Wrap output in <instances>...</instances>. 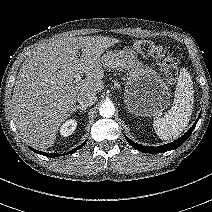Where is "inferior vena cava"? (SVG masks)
Segmentation results:
<instances>
[{
	"label": "inferior vena cava",
	"mask_w": 212,
	"mask_h": 212,
	"mask_svg": "<svg viewBox=\"0 0 212 212\" xmlns=\"http://www.w3.org/2000/svg\"><path fill=\"white\" fill-rule=\"evenodd\" d=\"M97 100L96 94L92 92L82 93L78 95L77 101L83 107H88L93 105Z\"/></svg>",
	"instance_id": "inferior-vena-cava-1"
}]
</instances>
